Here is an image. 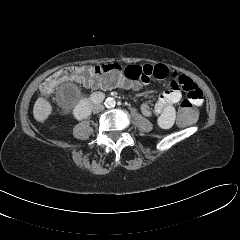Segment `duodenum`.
Wrapping results in <instances>:
<instances>
[{
	"instance_id": "obj_1",
	"label": "duodenum",
	"mask_w": 240,
	"mask_h": 240,
	"mask_svg": "<svg viewBox=\"0 0 240 240\" xmlns=\"http://www.w3.org/2000/svg\"><path fill=\"white\" fill-rule=\"evenodd\" d=\"M104 97L105 96L102 93H95L88 100L79 103L74 110L75 116L78 119L86 118L90 113L91 107L94 104L100 103Z\"/></svg>"
}]
</instances>
